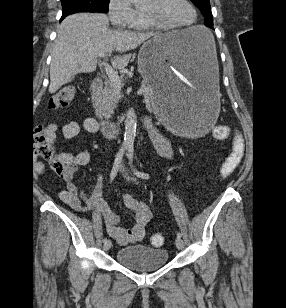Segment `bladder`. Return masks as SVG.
I'll return each instance as SVG.
<instances>
[{"instance_id":"1","label":"bladder","mask_w":286,"mask_h":308,"mask_svg":"<svg viewBox=\"0 0 286 308\" xmlns=\"http://www.w3.org/2000/svg\"><path fill=\"white\" fill-rule=\"evenodd\" d=\"M116 261L138 272L154 271L168 261V251L164 248H150L143 244L125 245L116 252Z\"/></svg>"}]
</instances>
